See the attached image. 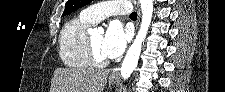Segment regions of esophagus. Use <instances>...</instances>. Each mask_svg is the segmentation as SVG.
<instances>
[{
	"instance_id": "esophagus-1",
	"label": "esophagus",
	"mask_w": 225,
	"mask_h": 92,
	"mask_svg": "<svg viewBox=\"0 0 225 92\" xmlns=\"http://www.w3.org/2000/svg\"><path fill=\"white\" fill-rule=\"evenodd\" d=\"M134 5L136 6V9H137V14H138V21H137V25L140 21V17H141V12H140V8H139V5H138V2L136 0H134ZM119 73V67H116L115 69H113V71L111 72V75L112 76H116L118 75Z\"/></svg>"
}]
</instances>
